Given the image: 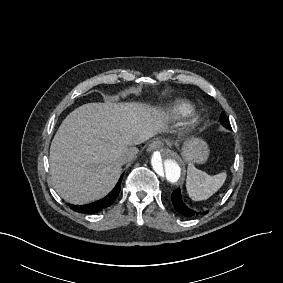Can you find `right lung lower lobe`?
Here are the masks:
<instances>
[{
    "label": "right lung lower lobe",
    "instance_id": "1",
    "mask_svg": "<svg viewBox=\"0 0 283 283\" xmlns=\"http://www.w3.org/2000/svg\"><path fill=\"white\" fill-rule=\"evenodd\" d=\"M123 175L120 177L117 185L115 188L103 199L98 200L96 202H93L91 204H86V205H73L71 204L70 207L79 213H84V214H93V213H98L102 211L103 209L109 207L117 198L119 192H120V184L122 180Z\"/></svg>",
    "mask_w": 283,
    "mask_h": 283
}]
</instances>
